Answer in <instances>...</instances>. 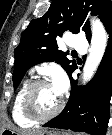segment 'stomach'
Returning <instances> with one entry per match:
<instances>
[{
	"label": "stomach",
	"mask_w": 112,
	"mask_h": 135,
	"mask_svg": "<svg viewBox=\"0 0 112 135\" xmlns=\"http://www.w3.org/2000/svg\"><path fill=\"white\" fill-rule=\"evenodd\" d=\"M12 134H15V132H13L10 129H4L3 131H0V135H12ZM48 135H69V134L52 131V132H49Z\"/></svg>",
	"instance_id": "1"
}]
</instances>
